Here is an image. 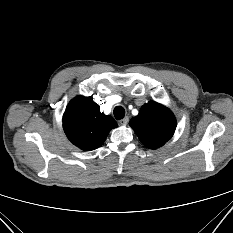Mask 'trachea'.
I'll return each instance as SVG.
<instances>
[{
    "label": "trachea",
    "mask_w": 233,
    "mask_h": 233,
    "mask_svg": "<svg viewBox=\"0 0 233 233\" xmlns=\"http://www.w3.org/2000/svg\"><path fill=\"white\" fill-rule=\"evenodd\" d=\"M114 116L117 120L124 118L125 116V109L122 106H116L114 108Z\"/></svg>",
    "instance_id": "1"
}]
</instances>
